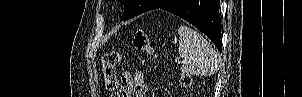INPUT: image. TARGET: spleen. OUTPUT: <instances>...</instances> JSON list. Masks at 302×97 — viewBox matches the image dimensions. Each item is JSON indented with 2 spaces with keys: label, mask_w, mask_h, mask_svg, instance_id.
<instances>
[{
  "label": "spleen",
  "mask_w": 302,
  "mask_h": 97,
  "mask_svg": "<svg viewBox=\"0 0 302 97\" xmlns=\"http://www.w3.org/2000/svg\"><path fill=\"white\" fill-rule=\"evenodd\" d=\"M179 56L186 63L183 72L190 75L210 76L219 67V57L212 46L195 30L187 26L178 28Z\"/></svg>",
  "instance_id": "1"
}]
</instances>
